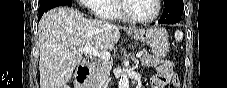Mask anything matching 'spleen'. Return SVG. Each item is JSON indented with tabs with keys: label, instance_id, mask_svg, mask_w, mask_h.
I'll use <instances>...</instances> for the list:
<instances>
[{
	"label": "spleen",
	"instance_id": "spleen-1",
	"mask_svg": "<svg viewBox=\"0 0 227 88\" xmlns=\"http://www.w3.org/2000/svg\"><path fill=\"white\" fill-rule=\"evenodd\" d=\"M174 36L177 42H181L183 40V32L181 30H176Z\"/></svg>",
	"mask_w": 227,
	"mask_h": 88
}]
</instances>
